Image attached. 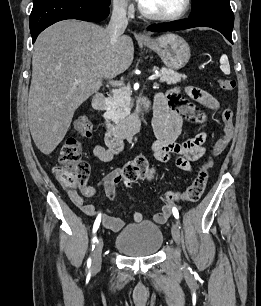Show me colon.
<instances>
[{
	"label": "colon",
	"instance_id": "obj_1",
	"mask_svg": "<svg viewBox=\"0 0 261 306\" xmlns=\"http://www.w3.org/2000/svg\"><path fill=\"white\" fill-rule=\"evenodd\" d=\"M220 87L225 91H232L236 82L234 79H220ZM223 123V136L214 144L212 155L216 156L222 153L229 145L233 136V112L230 108H225L221 113ZM77 136L69 137L63 143L58 163L54 168V174L61 185L67 189H73L79 186L81 189L87 187L86 181L89 176V166L81 160L82 139L89 138L92 135V125L86 117H79L74 123ZM211 162L205 163L199 170L193 182L181 194L168 192L166 200L173 201L181 198L188 202H197L202 196L208 179V169ZM154 168L144 157H138L129 161L119 170L115 180L131 185L138 180H151L154 177ZM93 193H91L92 195Z\"/></svg>",
	"mask_w": 261,
	"mask_h": 306
}]
</instances>
